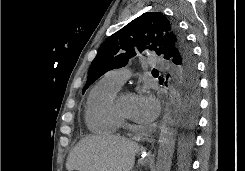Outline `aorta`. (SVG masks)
<instances>
[{
  "label": "aorta",
  "mask_w": 245,
  "mask_h": 171,
  "mask_svg": "<svg viewBox=\"0 0 245 171\" xmlns=\"http://www.w3.org/2000/svg\"><path fill=\"white\" fill-rule=\"evenodd\" d=\"M180 93L177 82L173 80L169 87L168 102L160 127L159 148L156 171H170L175 148L177 130L180 121Z\"/></svg>",
  "instance_id": "762f6f07"
}]
</instances>
